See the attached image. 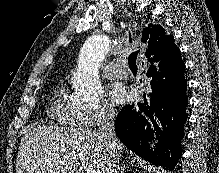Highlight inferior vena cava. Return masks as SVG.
Wrapping results in <instances>:
<instances>
[{
    "label": "inferior vena cava",
    "mask_w": 219,
    "mask_h": 173,
    "mask_svg": "<svg viewBox=\"0 0 219 173\" xmlns=\"http://www.w3.org/2000/svg\"><path fill=\"white\" fill-rule=\"evenodd\" d=\"M115 112L111 107H105L99 124V135L108 148L110 157L107 162L106 173H119V151L114 129Z\"/></svg>",
    "instance_id": "602c4592"
}]
</instances>
